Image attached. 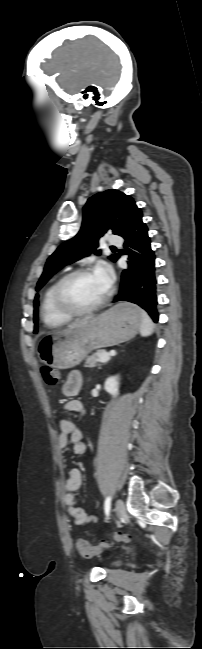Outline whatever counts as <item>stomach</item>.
Masks as SVG:
<instances>
[{
  "label": "stomach",
  "instance_id": "stomach-1",
  "mask_svg": "<svg viewBox=\"0 0 202 649\" xmlns=\"http://www.w3.org/2000/svg\"><path fill=\"white\" fill-rule=\"evenodd\" d=\"M141 323L139 308L118 304L78 327L44 336L37 345L38 357L56 369L72 368L95 348L114 346L131 339Z\"/></svg>",
  "mask_w": 202,
  "mask_h": 649
}]
</instances>
